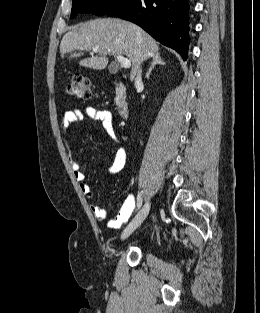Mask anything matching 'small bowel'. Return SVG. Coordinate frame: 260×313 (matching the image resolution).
Segmentation results:
<instances>
[{
  "mask_svg": "<svg viewBox=\"0 0 260 313\" xmlns=\"http://www.w3.org/2000/svg\"><path fill=\"white\" fill-rule=\"evenodd\" d=\"M82 119L89 121H97L100 123L102 129L106 134L114 139L118 140V135L114 126V118L110 111L97 109L94 107H87L83 111L78 109H73L67 111L61 121V130L65 137L68 136L72 125ZM70 158V168L72 170L74 179L79 184L80 191L87 197L90 209L95 216V218L101 222H105V225L109 229L119 228L130 216L135 207V199L132 195H128L124 198L121 210L115 219L105 221L107 212L104 208L100 207L94 200L93 192L90 186L85 182V174L81 170L79 163ZM127 154L125 149L119 148L114 157L113 163L108 168L107 173L109 175H114L120 172L126 164Z\"/></svg>",
  "mask_w": 260,
  "mask_h": 313,
  "instance_id": "1",
  "label": "small bowel"
}]
</instances>
